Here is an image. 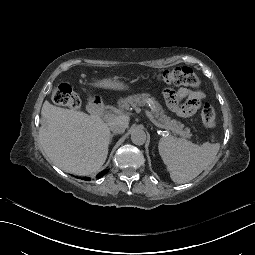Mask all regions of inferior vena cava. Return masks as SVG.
<instances>
[{
    "label": "inferior vena cava",
    "mask_w": 255,
    "mask_h": 255,
    "mask_svg": "<svg viewBox=\"0 0 255 255\" xmlns=\"http://www.w3.org/2000/svg\"><path fill=\"white\" fill-rule=\"evenodd\" d=\"M125 128H126V124L121 120L113 121L112 123H110V130L113 133H117V134L124 133Z\"/></svg>",
    "instance_id": "inferior-vena-cava-1"
}]
</instances>
